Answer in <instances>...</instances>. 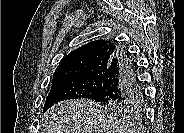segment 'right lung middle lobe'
I'll return each instance as SVG.
<instances>
[{"label": "right lung middle lobe", "mask_w": 184, "mask_h": 133, "mask_svg": "<svg viewBox=\"0 0 184 133\" xmlns=\"http://www.w3.org/2000/svg\"><path fill=\"white\" fill-rule=\"evenodd\" d=\"M102 76V73H96L52 81V87L47 96L43 112L54 104L67 99H93L102 88ZM99 105L103 111L110 115L134 118L141 114L143 100L133 104L115 105L104 103Z\"/></svg>", "instance_id": "dd1d6c3e"}]
</instances>
